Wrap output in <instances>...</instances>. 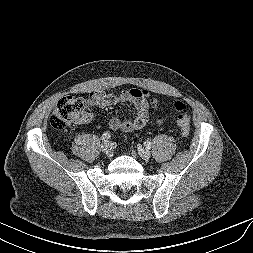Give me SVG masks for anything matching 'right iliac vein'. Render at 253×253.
<instances>
[{
    "instance_id": "63e3f726",
    "label": "right iliac vein",
    "mask_w": 253,
    "mask_h": 253,
    "mask_svg": "<svg viewBox=\"0 0 253 253\" xmlns=\"http://www.w3.org/2000/svg\"><path fill=\"white\" fill-rule=\"evenodd\" d=\"M102 151L107 155L111 156L112 154V143L104 142L101 146Z\"/></svg>"
}]
</instances>
